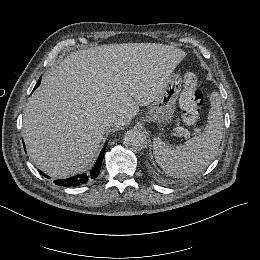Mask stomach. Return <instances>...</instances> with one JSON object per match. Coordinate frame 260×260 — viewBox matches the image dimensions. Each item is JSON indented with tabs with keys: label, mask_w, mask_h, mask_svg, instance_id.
<instances>
[{
	"label": "stomach",
	"mask_w": 260,
	"mask_h": 260,
	"mask_svg": "<svg viewBox=\"0 0 260 260\" xmlns=\"http://www.w3.org/2000/svg\"><path fill=\"white\" fill-rule=\"evenodd\" d=\"M181 78L179 74H171L166 87L160 96L149 106L145 121L162 125L169 122L176 108V101L181 90Z\"/></svg>",
	"instance_id": "1"
}]
</instances>
